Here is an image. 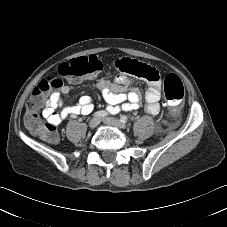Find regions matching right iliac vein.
I'll use <instances>...</instances> for the list:
<instances>
[{
  "label": "right iliac vein",
  "instance_id": "1",
  "mask_svg": "<svg viewBox=\"0 0 227 227\" xmlns=\"http://www.w3.org/2000/svg\"><path fill=\"white\" fill-rule=\"evenodd\" d=\"M99 124V119L98 118H92L90 121H89V127L90 128H95L97 127Z\"/></svg>",
  "mask_w": 227,
  "mask_h": 227
}]
</instances>
